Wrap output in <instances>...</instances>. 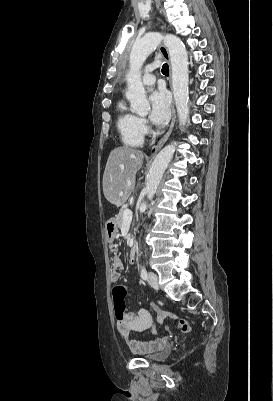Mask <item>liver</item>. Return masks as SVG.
I'll return each mask as SVG.
<instances>
[{"label":"liver","mask_w":273,"mask_h":401,"mask_svg":"<svg viewBox=\"0 0 273 401\" xmlns=\"http://www.w3.org/2000/svg\"><path fill=\"white\" fill-rule=\"evenodd\" d=\"M143 158L142 150L129 146L111 150L103 174V192L109 203L116 207L126 203L134 190L136 172L141 168Z\"/></svg>","instance_id":"liver-1"}]
</instances>
